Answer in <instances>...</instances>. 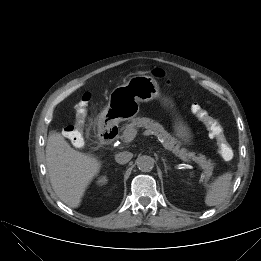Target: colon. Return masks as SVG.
<instances>
[{
    "instance_id": "1",
    "label": "colon",
    "mask_w": 261,
    "mask_h": 261,
    "mask_svg": "<svg viewBox=\"0 0 261 261\" xmlns=\"http://www.w3.org/2000/svg\"><path fill=\"white\" fill-rule=\"evenodd\" d=\"M154 76L158 78H162L164 76V72L162 70H155ZM90 100V94L85 93L80 102L77 105V113L78 115H84L86 111V107L88 101ZM192 112L196 115V117L201 120L205 126L207 127L209 134L212 138L215 139L217 145L218 155L223 160H231L234 157V151L231 147L230 143L227 140L223 127L219 124L217 120L212 118L207 111L201 108L198 104H193L191 106ZM64 136L71 141V143L75 146H81L83 144V132L82 129L78 125H70L64 129Z\"/></svg>"
}]
</instances>
